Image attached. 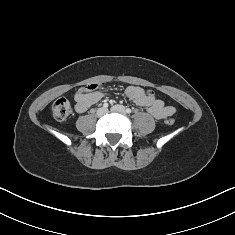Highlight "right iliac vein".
Listing matches in <instances>:
<instances>
[{
  "label": "right iliac vein",
  "mask_w": 235,
  "mask_h": 235,
  "mask_svg": "<svg viewBox=\"0 0 235 235\" xmlns=\"http://www.w3.org/2000/svg\"><path fill=\"white\" fill-rule=\"evenodd\" d=\"M106 112H107V109H105V108H99V109L97 110V116L102 117L103 115L106 114Z\"/></svg>",
  "instance_id": "obj_1"
}]
</instances>
